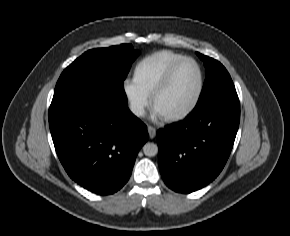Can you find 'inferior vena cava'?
I'll list each match as a JSON object with an SVG mask.
<instances>
[{
  "mask_svg": "<svg viewBox=\"0 0 290 236\" xmlns=\"http://www.w3.org/2000/svg\"><path fill=\"white\" fill-rule=\"evenodd\" d=\"M131 111L136 115V116H143L145 113V110L143 107L134 105L131 107Z\"/></svg>",
  "mask_w": 290,
  "mask_h": 236,
  "instance_id": "inferior-vena-cava-1",
  "label": "inferior vena cava"
}]
</instances>
